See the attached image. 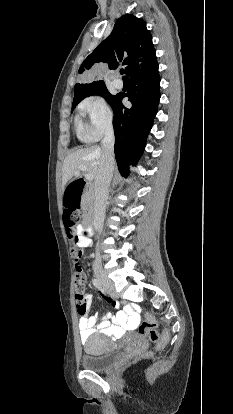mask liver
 I'll use <instances>...</instances> for the list:
<instances>
[{
  "mask_svg": "<svg viewBox=\"0 0 233 414\" xmlns=\"http://www.w3.org/2000/svg\"><path fill=\"white\" fill-rule=\"evenodd\" d=\"M102 149L94 145L69 154L63 163L62 168V187L65 188L68 181L73 176H80V168L85 166L88 174H92L94 178L98 175L101 168Z\"/></svg>",
  "mask_w": 233,
  "mask_h": 414,
  "instance_id": "obj_1",
  "label": "liver"
}]
</instances>
